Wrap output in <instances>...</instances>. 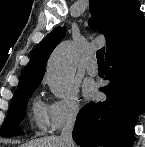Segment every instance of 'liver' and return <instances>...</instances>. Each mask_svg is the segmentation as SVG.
<instances>
[{
  "mask_svg": "<svg viewBox=\"0 0 145 147\" xmlns=\"http://www.w3.org/2000/svg\"><path fill=\"white\" fill-rule=\"evenodd\" d=\"M21 147H63L62 143L57 136H51L41 139L32 140Z\"/></svg>",
  "mask_w": 145,
  "mask_h": 147,
  "instance_id": "1",
  "label": "liver"
}]
</instances>
